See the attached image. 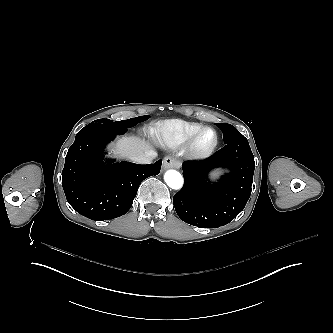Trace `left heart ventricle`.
Here are the masks:
<instances>
[{
	"label": "left heart ventricle",
	"instance_id": "obj_1",
	"mask_svg": "<svg viewBox=\"0 0 333 333\" xmlns=\"http://www.w3.org/2000/svg\"><path fill=\"white\" fill-rule=\"evenodd\" d=\"M214 142V133L211 130L203 131L196 142V148L198 150H204L210 147Z\"/></svg>",
	"mask_w": 333,
	"mask_h": 333
}]
</instances>
